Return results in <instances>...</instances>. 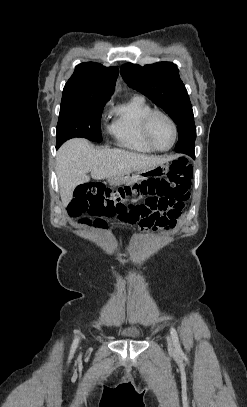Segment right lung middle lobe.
I'll return each mask as SVG.
<instances>
[{
	"mask_svg": "<svg viewBox=\"0 0 247 407\" xmlns=\"http://www.w3.org/2000/svg\"><path fill=\"white\" fill-rule=\"evenodd\" d=\"M107 101L61 102L56 148L73 137L101 142V113Z\"/></svg>",
	"mask_w": 247,
	"mask_h": 407,
	"instance_id": "1",
	"label": "right lung middle lobe"
}]
</instances>
